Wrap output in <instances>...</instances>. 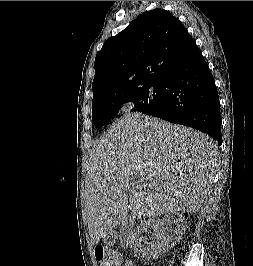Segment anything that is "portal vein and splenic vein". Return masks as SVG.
<instances>
[{
	"label": "portal vein and splenic vein",
	"instance_id": "portal-vein-and-splenic-vein-1",
	"mask_svg": "<svg viewBox=\"0 0 253 266\" xmlns=\"http://www.w3.org/2000/svg\"><path fill=\"white\" fill-rule=\"evenodd\" d=\"M134 180H135V179H134ZM136 182H137L138 184L140 183V181H137V180H136Z\"/></svg>",
	"mask_w": 253,
	"mask_h": 266
}]
</instances>
